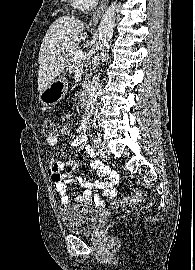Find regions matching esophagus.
Here are the masks:
<instances>
[{"label": "esophagus", "mask_w": 195, "mask_h": 270, "mask_svg": "<svg viewBox=\"0 0 195 270\" xmlns=\"http://www.w3.org/2000/svg\"><path fill=\"white\" fill-rule=\"evenodd\" d=\"M109 0H102L100 5L98 6V8L96 9V11L94 12V14L92 15L90 21H89V27H96L102 14L104 13L107 4H108Z\"/></svg>", "instance_id": "esophagus-1"}]
</instances>
